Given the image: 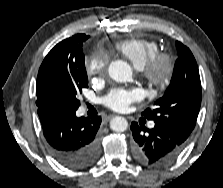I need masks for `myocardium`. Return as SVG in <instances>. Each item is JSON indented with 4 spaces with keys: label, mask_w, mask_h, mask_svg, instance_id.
Segmentation results:
<instances>
[{
    "label": "myocardium",
    "mask_w": 223,
    "mask_h": 188,
    "mask_svg": "<svg viewBox=\"0 0 223 188\" xmlns=\"http://www.w3.org/2000/svg\"><path fill=\"white\" fill-rule=\"evenodd\" d=\"M143 77L155 87L168 85L174 75L175 62L167 53H157L141 68Z\"/></svg>",
    "instance_id": "f54148a6"
}]
</instances>
